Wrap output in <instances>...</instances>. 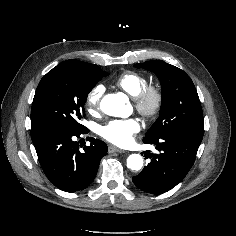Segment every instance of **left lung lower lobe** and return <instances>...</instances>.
Segmentation results:
<instances>
[{"label": "left lung lower lobe", "mask_w": 236, "mask_h": 236, "mask_svg": "<svg viewBox=\"0 0 236 236\" xmlns=\"http://www.w3.org/2000/svg\"><path fill=\"white\" fill-rule=\"evenodd\" d=\"M203 136L175 131L145 137L144 143L156 145L159 154L145 151L150 162L142 172L133 177V183L142 191L162 194L175 187L191 169Z\"/></svg>", "instance_id": "left-lung-lower-lobe-1"}]
</instances>
